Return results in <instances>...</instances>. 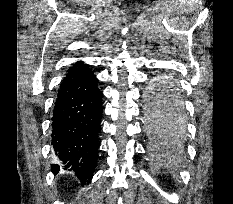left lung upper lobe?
I'll use <instances>...</instances> for the list:
<instances>
[{
	"instance_id": "obj_1",
	"label": "left lung upper lobe",
	"mask_w": 233,
	"mask_h": 204,
	"mask_svg": "<svg viewBox=\"0 0 233 204\" xmlns=\"http://www.w3.org/2000/svg\"><path fill=\"white\" fill-rule=\"evenodd\" d=\"M157 87L147 93L146 117L151 128H158L159 124L174 125L182 129L186 123L185 108L173 81L157 79Z\"/></svg>"
}]
</instances>
